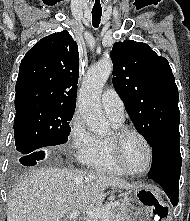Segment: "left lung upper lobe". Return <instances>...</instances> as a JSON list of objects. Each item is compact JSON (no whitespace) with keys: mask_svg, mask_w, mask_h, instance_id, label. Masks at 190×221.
<instances>
[{"mask_svg":"<svg viewBox=\"0 0 190 221\" xmlns=\"http://www.w3.org/2000/svg\"><path fill=\"white\" fill-rule=\"evenodd\" d=\"M111 59L113 85L149 145L180 135L178 88L167 59L149 45L133 40L116 42Z\"/></svg>","mask_w":190,"mask_h":221,"instance_id":"5c2ea615","label":"left lung upper lobe"}]
</instances>
